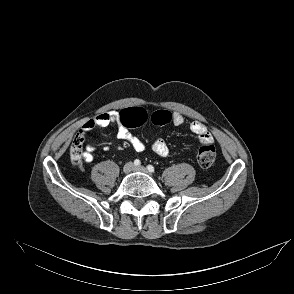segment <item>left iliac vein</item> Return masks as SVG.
<instances>
[{
  "label": "left iliac vein",
  "instance_id": "left-iliac-vein-1",
  "mask_svg": "<svg viewBox=\"0 0 294 294\" xmlns=\"http://www.w3.org/2000/svg\"><path fill=\"white\" fill-rule=\"evenodd\" d=\"M133 170L138 172L148 173L147 169L143 166L134 167Z\"/></svg>",
  "mask_w": 294,
  "mask_h": 294
}]
</instances>
